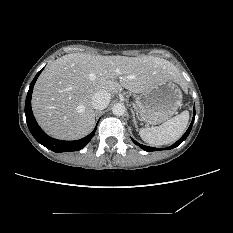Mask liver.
I'll use <instances>...</instances> for the list:
<instances>
[{
    "label": "liver",
    "instance_id": "liver-1",
    "mask_svg": "<svg viewBox=\"0 0 233 233\" xmlns=\"http://www.w3.org/2000/svg\"><path fill=\"white\" fill-rule=\"evenodd\" d=\"M170 80L182 84L179 70L163 58L67 54L49 64L38 78L32 109L49 135L76 140L94 127L91 101L97 91L116 94L123 87L144 93Z\"/></svg>",
    "mask_w": 233,
    "mask_h": 233
}]
</instances>
